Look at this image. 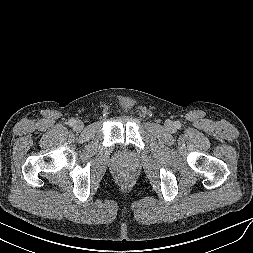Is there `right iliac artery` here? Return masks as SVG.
Returning <instances> with one entry per match:
<instances>
[{
	"label": "right iliac artery",
	"instance_id": "1",
	"mask_svg": "<svg viewBox=\"0 0 253 253\" xmlns=\"http://www.w3.org/2000/svg\"><path fill=\"white\" fill-rule=\"evenodd\" d=\"M75 124H76V120L75 119L72 118V119L69 120V125L70 126H74Z\"/></svg>",
	"mask_w": 253,
	"mask_h": 253
}]
</instances>
